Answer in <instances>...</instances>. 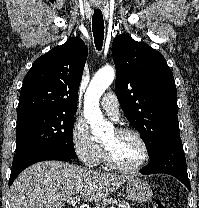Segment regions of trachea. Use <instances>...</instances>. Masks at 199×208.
I'll return each instance as SVG.
<instances>
[{
	"label": "trachea",
	"mask_w": 199,
	"mask_h": 208,
	"mask_svg": "<svg viewBox=\"0 0 199 208\" xmlns=\"http://www.w3.org/2000/svg\"><path fill=\"white\" fill-rule=\"evenodd\" d=\"M92 30L94 36V43L97 50L102 49L104 40V21L100 9H95L92 17Z\"/></svg>",
	"instance_id": "obj_1"
}]
</instances>
